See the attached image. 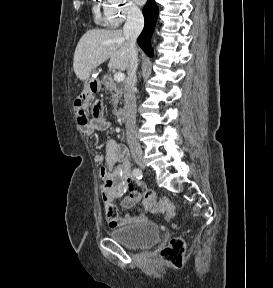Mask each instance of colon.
Here are the masks:
<instances>
[{
	"label": "colon",
	"instance_id": "colon-1",
	"mask_svg": "<svg viewBox=\"0 0 273 288\" xmlns=\"http://www.w3.org/2000/svg\"><path fill=\"white\" fill-rule=\"evenodd\" d=\"M74 110L81 125H86L89 123V118L85 109L80 103H75ZM103 111V106L99 101H96L92 105V114L100 115ZM155 209L157 212L162 213L167 219L172 218L174 215V205L173 203L165 197L160 198L155 203ZM186 245L181 237L172 238L169 243L164 246L160 251V257L171 264L174 267H181L184 262Z\"/></svg>",
	"mask_w": 273,
	"mask_h": 288
}]
</instances>
